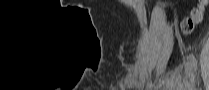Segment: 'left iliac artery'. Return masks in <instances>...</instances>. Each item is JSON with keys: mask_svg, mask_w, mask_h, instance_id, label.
<instances>
[{"mask_svg": "<svg viewBox=\"0 0 209 90\" xmlns=\"http://www.w3.org/2000/svg\"><path fill=\"white\" fill-rule=\"evenodd\" d=\"M188 58L190 60L191 66L196 71L197 70V59L195 58V56L193 54H189Z\"/></svg>", "mask_w": 209, "mask_h": 90, "instance_id": "1", "label": "left iliac artery"}]
</instances>
